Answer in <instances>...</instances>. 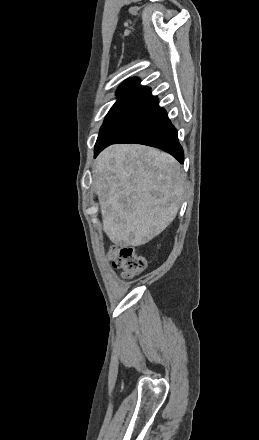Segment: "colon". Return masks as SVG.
Here are the masks:
<instances>
[{"label": "colon", "mask_w": 259, "mask_h": 440, "mask_svg": "<svg viewBox=\"0 0 259 440\" xmlns=\"http://www.w3.org/2000/svg\"><path fill=\"white\" fill-rule=\"evenodd\" d=\"M108 257L115 267L122 270V274L126 278L134 277L146 267L145 258L138 255L134 247L129 245L111 247Z\"/></svg>", "instance_id": "colon-1"}]
</instances>
